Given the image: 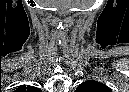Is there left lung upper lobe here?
<instances>
[{"instance_id":"1","label":"left lung upper lobe","mask_w":129,"mask_h":92,"mask_svg":"<svg viewBox=\"0 0 129 92\" xmlns=\"http://www.w3.org/2000/svg\"><path fill=\"white\" fill-rule=\"evenodd\" d=\"M76 92H111V90L97 81H86L78 86Z\"/></svg>"}]
</instances>
